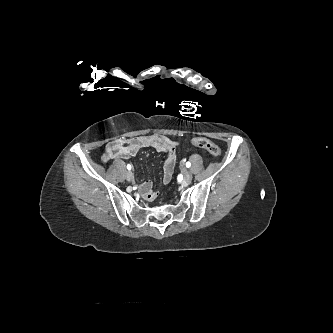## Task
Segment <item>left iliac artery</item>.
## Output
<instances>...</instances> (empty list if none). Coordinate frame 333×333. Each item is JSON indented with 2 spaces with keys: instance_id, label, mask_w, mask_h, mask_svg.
I'll list each match as a JSON object with an SVG mask.
<instances>
[{
  "instance_id": "left-iliac-artery-1",
  "label": "left iliac artery",
  "mask_w": 333,
  "mask_h": 333,
  "mask_svg": "<svg viewBox=\"0 0 333 333\" xmlns=\"http://www.w3.org/2000/svg\"><path fill=\"white\" fill-rule=\"evenodd\" d=\"M190 166H191V163L188 161V162L186 163V167L189 168Z\"/></svg>"
}]
</instances>
